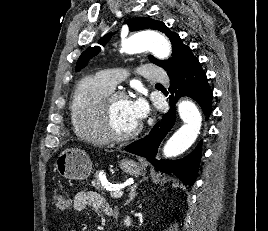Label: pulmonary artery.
I'll use <instances>...</instances> for the list:
<instances>
[{
  "instance_id": "e3ab8cb5",
  "label": "pulmonary artery",
  "mask_w": 268,
  "mask_h": 231,
  "mask_svg": "<svg viewBox=\"0 0 268 231\" xmlns=\"http://www.w3.org/2000/svg\"><path fill=\"white\" fill-rule=\"evenodd\" d=\"M141 74L149 82H164L166 74L161 67L153 64H145L141 67ZM101 80L108 86L114 88L121 80V76L115 69H105L100 72Z\"/></svg>"
}]
</instances>
